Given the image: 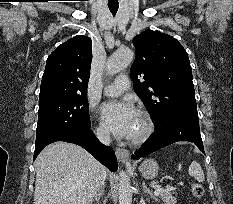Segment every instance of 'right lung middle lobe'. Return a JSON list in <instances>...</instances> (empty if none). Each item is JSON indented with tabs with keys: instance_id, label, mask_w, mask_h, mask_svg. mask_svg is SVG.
Here are the masks:
<instances>
[{
	"instance_id": "obj_1",
	"label": "right lung middle lobe",
	"mask_w": 233,
	"mask_h": 204,
	"mask_svg": "<svg viewBox=\"0 0 233 204\" xmlns=\"http://www.w3.org/2000/svg\"><path fill=\"white\" fill-rule=\"evenodd\" d=\"M87 128H90V119L86 96L39 101L36 143L64 132Z\"/></svg>"
}]
</instances>
